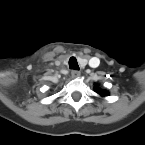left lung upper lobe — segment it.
I'll list each match as a JSON object with an SVG mask.
<instances>
[{"label": "left lung upper lobe", "mask_w": 145, "mask_h": 145, "mask_svg": "<svg viewBox=\"0 0 145 145\" xmlns=\"http://www.w3.org/2000/svg\"><path fill=\"white\" fill-rule=\"evenodd\" d=\"M98 94H100L101 96H108L109 93L107 91H102V90H97Z\"/></svg>", "instance_id": "obj_1"}]
</instances>
